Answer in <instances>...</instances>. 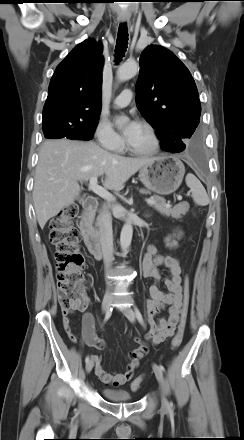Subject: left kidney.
Wrapping results in <instances>:
<instances>
[{"instance_id":"1","label":"left kidney","mask_w":244,"mask_h":440,"mask_svg":"<svg viewBox=\"0 0 244 440\" xmlns=\"http://www.w3.org/2000/svg\"><path fill=\"white\" fill-rule=\"evenodd\" d=\"M169 241V239H167V242ZM177 243L175 241H173L172 243H167V246H176Z\"/></svg>"}]
</instances>
